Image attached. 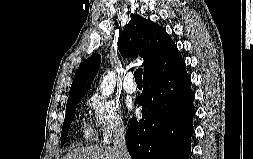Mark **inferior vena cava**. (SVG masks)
Returning <instances> with one entry per match:
<instances>
[{"label":"inferior vena cava","instance_id":"602c4592","mask_svg":"<svg viewBox=\"0 0 253 159\" xmlns=\"http://www.w3.org/2000/svg\"><path fill=\"white\" fill-rule=\"evenodd\" d=\"M113 149L118 155V159H131L125 141V130L123 126H118L114 133Z\"/></svg>","mask_w":253,"mask_h":159}]
</instances>
